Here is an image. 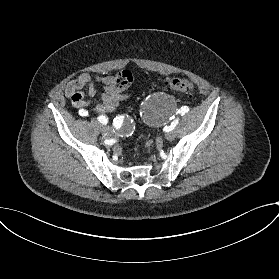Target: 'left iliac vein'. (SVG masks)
<instances>
[{
	"mask_svg": "<svg viewBox=\"0 0 279 279\" xmlns=\"http://www.w3.org/2000/svg\"><path fill=\"white\" fill-rule=\"evenodd\" d=\"M174 137H175L174 131H169V132L166 134V138H167L168 140H173Z\"/></svg>",
	"mask_w": 279,
	"mask_h": 279,
	"instance_id": "4c4485c4",
	"label": "left iliac vein"
}]
</instances>
